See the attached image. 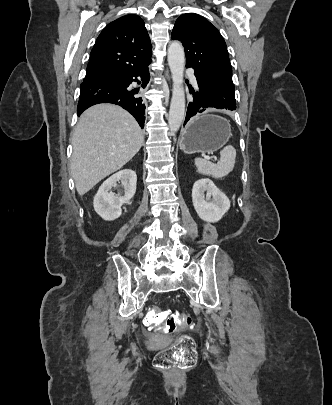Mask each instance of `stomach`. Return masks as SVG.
<instances>
[{"label": "stomach", "mask_w": 332, "mask_h": 405, "mask_svg": "<svg viewBox=\"0 0 332 405\" xmlns=\"http://www.w3.org/2000/svg\"><path fill=\"white\" fill-rule=\"evenodd\" d=\"M231 136L227 120L208 112L194 117L180 138L185 153L211 154L222 148Z\"/></svg>", "instance_id": "stomach-1"}]
</instances>
